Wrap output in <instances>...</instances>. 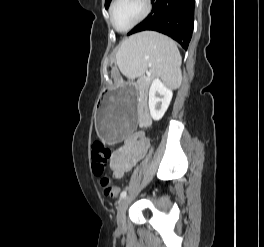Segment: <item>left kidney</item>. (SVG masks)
<instances>
[{"label":"left kidney","mask_w":264,"mask_h":247,"mask_svg":"<svg viewBox=\"0 0 264 247\" xmlns=\"http://www.w3.org/2000/svg\"><path fill=\"white\" fill-rule=\"evenodd\" d=\"M172 96V89L168 88L159 78L152 81L149 89L148 105L153 120H160L164 116Z\"/></svg>","instance_id":"left-kidney-1"}]
</instances>
